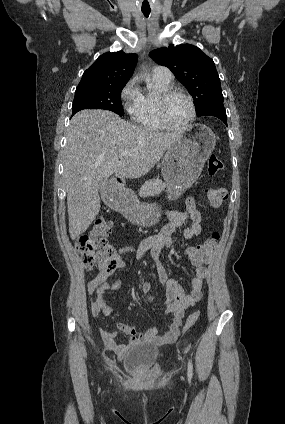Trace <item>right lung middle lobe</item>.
<instances>
[{"label": "right lung middle lobe", "instance_id": "right-lung-middle-lobe-1", "mask_svg": "<svg viewBox=\"0 0 285 424\" xmlns=\"http://www.w3.org/2000/svg\"><path fill=\"white\" fill-rule=\"evenodd\" d=\"M126 83L115 85H90L77 87L72 112L82 109H105L124 115L121 92Z\"/></svg>", "mask_w": 285, "mask_h": 424}]
</instances>
